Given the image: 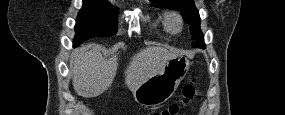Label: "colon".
<instances>
[{
  "mask_svg": "<svg viewBox=\"0 0 285 115\" xmlns=\"http://www.w3.org/2000/svg\"><path fill=\"white\" fill-rule=\"evenodd\" d=\"M199 95V89L197 86L196 78L193 77L187 82L182 90V98L179 102L169 105L164 110L154 113L153 115H177L185 107L189 106Z\"/></svg>",
  "mask_w": 285,
  "mask_h": 115,
  "instance_id": "obj_1",
  "label": "colon"
}]
</instances>
